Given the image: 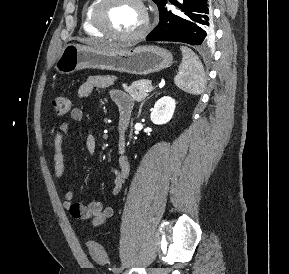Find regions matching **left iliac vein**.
I'll return each mask as SVG.
<instances>
[{"label": "left iliac vein", "instance_id": "1", "mask_svg": "<svg viewBox=\"0 0 289 274\" xmlns=\"http://www.w3.org/2000/svg\"><path fill=\"white\" fill-rule=\"evenodd\" d=\"M113 271H114L115 274L121 273V269H114Z\"/></svg>", "mask_w": 289, "mask_h": 274}]
</instances>
